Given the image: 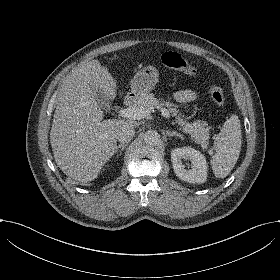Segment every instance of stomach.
Listing matches in <instances>:
<instances>
[{
    "label": "stomach",
    "instance_id": "stomach-1",
    "mask_svg": "<svg viewBox=\"0 0 280 280\" xmlns=\"http://www.w3.org/2000/svg\"><path fill=\"white\" fill-rule=\"evenodd\" d=\"M159 81V72L154 66H147L139 70L131 81L129 97L134 99L135 93L147 95Z\"/></svg>",
    "mask_w": 280,
    "mask_h": 280
}]
</instances>
